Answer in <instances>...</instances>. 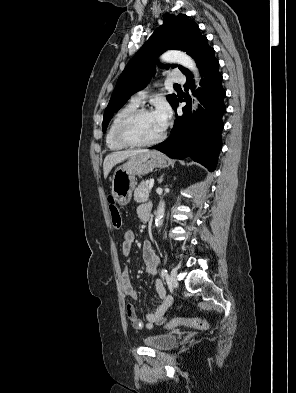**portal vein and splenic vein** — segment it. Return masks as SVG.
Returning <instances> with one entry per match:
<instances>
[{"label":"portal vein and splenic vein","instance_id":"obj_1","mask_svg":"<svg viewBox=\"0 0 296 393\" xmlns=\"http://www.w3.org/2000/svg\"><path fill=\"white\" fill-rule=\"evenodd\" d=\"M153 185H154V179H151L149 181V188L151 189L153 187Z\"/></svg>","mask_w":296,"mask_h":393}]
</instances>
